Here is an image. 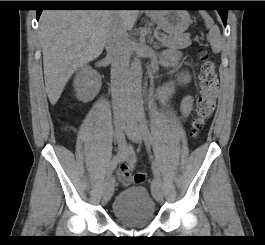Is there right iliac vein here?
Instances as JSON below:
<instances>
[{
    "instance_id": "1",
    "label": "right iliac vein",
    "mask_w": 265,
    "mask_h": 245,
    "mask_svg": "<svg viewBox=\"0 0 265 245\" xmlns=\"http://www.w3.org/2000/svg\"><path fill=\"white\" fill-rule=\"evenodd\" d=\"M114 125H115V131L117 133H122L127 127V123L122 119H116ZM114 187H115L114 178L113 177L107 178L103 187L104 201H108L111 198L114 192Z\"/></svg>"
}]
</instances>
